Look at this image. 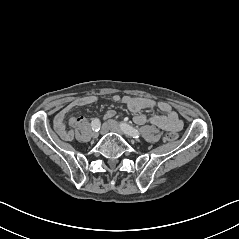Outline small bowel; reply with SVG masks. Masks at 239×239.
I'll use <instances>...</instances> for the list:
<instances>
[{
	"mask_svg": "<svg viewBox=\"0 0 239 239\" xmlns=\"http://www.w3.org/2000/svg\"><path fill=\"white\" fill-rule=\"evenodd\" d=\"M96 101L97 97L93 95L80 97L58 112L54 119V126L61 138L67 141L74 138V131L68 127V123L71 127H75L85 121L83 116H70L67 119L71 111L77 107L93 104ZM112 101H122L126 104L129 110L134 113V122L138 125L149 123L163 130L172 132L180 131L183 127V122L180 120L178 114L166 102H156L155 100L146 97L124 96L121 98L119 95H114L112 97ZM155 107L158 108L160 114L147 116L141 112L144 109H151ZM115 114V110H109L105 114V117L111 118Z\"/></svg>",
	"mask_w": 239,
	"mask_h": 239,
	"instance_id": "1",
	"label": "small bowel"
}]
</instances>
